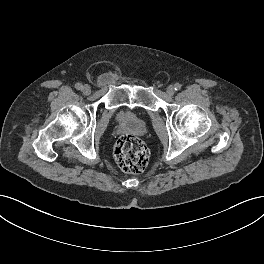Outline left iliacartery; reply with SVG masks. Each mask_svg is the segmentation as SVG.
Here are the masks:
<instances>
[{"mask_svg":"<svg viewBox=\"0 0 264 264\" xmlns=\"http://www.w3.org/2000/svg\"><path fill=\"white\" fill-rule=\"evenodd\" d=\"M174 89H175L176 91L180 90V89H181V84L176 83V84L174 85Z\"/></svg>","mask_w":264,"mask_h":264,"instance_id":"left-iliac-artery-1","label":"left iliac artery"}]
</instances>
